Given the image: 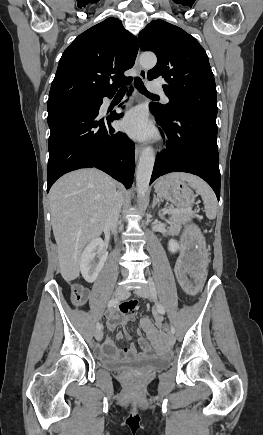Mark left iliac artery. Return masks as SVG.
Returning <instances> with one entry per match:
<instances>
[{
	"label": "left iliac artery",
	"mask_w": 263,
	"mask_h": 435,
	"mask_svg": "<svg viewBox=\"0 0 263 435\" xmlns=\"http://www.w3.org/2000/svg\"><path fill=\"white\" fill-rule=\"evenodd\" d=\"M149 287H150V290L152 292V295H153L154 299L157 300V294H156L155 284H154V282H153L151 277H149ZM156 307H157V310H158V312L160 314H164L165 313V309H164L163 305L161 303H159L158 301H156ZM171 333L172 334L175 333L174 326H171Z\"/></svg>",
	"instance_id": "left-iliac-artery-1"
}]
</instances>
